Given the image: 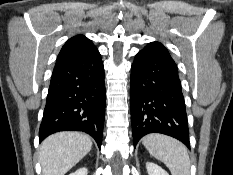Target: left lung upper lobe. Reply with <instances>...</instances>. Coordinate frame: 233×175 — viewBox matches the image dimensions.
I'll return each instance as SVG.
<instances>
[{"label": "left lung upper lobe", "instance_id": "1", "mask_svg": "<svg viewBox=\"0 0 233 175\" xmlns=\"http://www.w3.org/2000/svg\"><path fill=\"white\" fill-rule=\"evenodd\" d=\"M151 45H153V46H156V47H160V48H162L163 50H165V51H167V49L161 44V43H159V42H152V43H150ZM168 52V51H167Z\"/></svg>", "mask_w": 233, "mask_h": 175}]
</instances>
